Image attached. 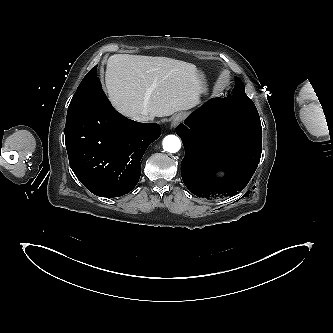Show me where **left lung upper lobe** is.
Segmentation results:
<instances>
[{
  "mask_svg": "<svg viewBox=\"0 0 333 333\" xmlns=\"http://www.w3.org/2000/svg\"><path fill=\"white\" fill-rule=\"evenodd\" d=\"M232 92H233L232 96L237 102L254 105L252 100L248 98V96L245 94V87L240 79L238 78L236 79V84Z\"/></svg>",
  "mask_w": 333,
  "mask_h": 333,
  "instance_id": "1",
  "label": "left lung upper lobe"
}]
</instances>
